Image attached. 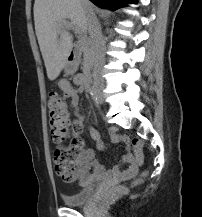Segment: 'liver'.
<instances>
[{
  "label": "liver",
  "instance_id": "obj_1",
  "mask_svg": "<svg viewBox=\"0 0 202 217\" xmlns=\"http://www.w3.org/2000/svg\"><path fill=\"white\" fill-rule=\"evenodd\" d=\"M88 7L94 10L90 2ZM66 19L82 33L88 30V11L81 0H35V31L50 80L59 76L73 48L72 36L62 26Z\"/></svg>",
  "mask_w": 202,
  "mask_h": 217
}]
</instances>
